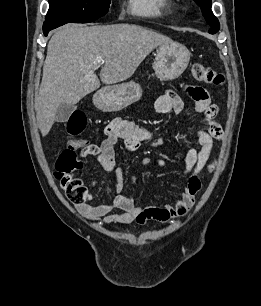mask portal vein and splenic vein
<instances>
[{
    "label": "portal vein and splenic vein",
    "instance_id": "1",
    "mask_svg": "<svg viewBox=\"0 0 261 306\" xmlns=\"http://www.w3.org/2000/svg\"><path fill=\"white\" fill-rule=\"evenodd\" d=\"M103 63H104L103 59L97 58L96 62H95V66L99 67V66L103 65Z\"/></svg>",
    "mask_w": 261,
    "mask_h": 306
}]
</instances>
